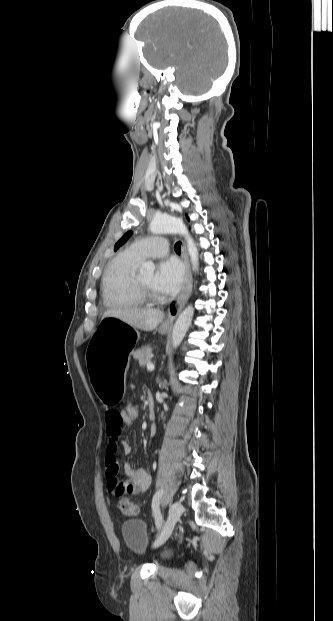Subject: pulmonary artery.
<instances>
[{
	"label": "pulmonary artery",
	"instance_id": "pulmonary-artery-1",
	"mask_svg": "<svg viewBox=\"0 0 333 621\" xmlns=\"http://www.w3.org/2000/svg\"><path fill=\"white\" fill-rule=\"evenodd\" d=\"M127 251L139 260L148 257L156 258L168 252V244L165 238L148 237L133 242Z\"/></svg>",
	"mask_w": 333,
	"mask_h": 621
}]
</instances>
